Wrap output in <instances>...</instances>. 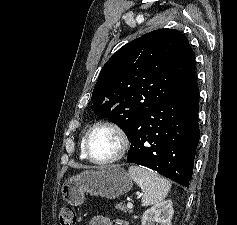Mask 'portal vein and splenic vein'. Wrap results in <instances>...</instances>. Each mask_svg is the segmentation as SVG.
Listing matches in <instances>:
<instances>
[{
    "instance_id": "18ae733b",
    "label": "portal vein and splenic vein",
    "mask_w": 237,
    "mask_h": 225,
    "mask_svg": "<svg viewBox=\"0 0 237 225\" xmlns=\"http://www.w3.org/2000/svg\"><path fill=\"white\" fill-rule=\"evenodd\" d=\"M127 208L132 209L133 208V204L131 202H128L127 203Z\"/></svg>"
}]
</instances>
